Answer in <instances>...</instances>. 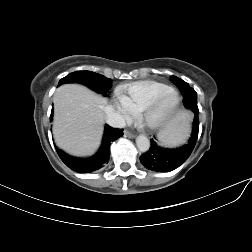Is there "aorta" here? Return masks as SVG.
Instances as JSON below:
<instances>
[{"mask_svg": "<svg viewBox=\"0 0 252 252\" xmlns=\"http://www.w3.org/2000/svg\"><path fill=\"white\" fill-rule=\"evenodd\" d=\"M136 145L141 152H146L150 148V141L146 136H138L136 139Z\"/></svg>", "mask_w": 252, "mask_h": 252, "instance_id": "1", "label": "aorta"}]
</instances>
